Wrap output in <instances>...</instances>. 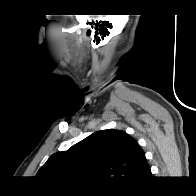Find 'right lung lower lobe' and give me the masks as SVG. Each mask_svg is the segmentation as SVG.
I'll list each match as a JSON object with an SVG mask.
<instances>
[{
  "mask_svg": "<svg viewBox=\"0 0 196 196\" xmlns=\"http://www.w3.org/2000/svg\"><path fill=\"white\" fill-rule=\"evenodd\" d=\"M147 178H149V176L147 177ZM143 182V181H142ZM141 182V183H142ZM141 183H139V184H134V185H130V186H138V185H140Z\"/></svg>",
  "mask_w": 196,
  "mask_h": 196,
  "instance_id": "1",
  "label": "right lung lower lobe"
}]
</instances>
